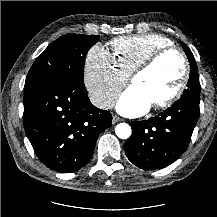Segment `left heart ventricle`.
I'll list each match as a JSON object with an SVG mask.
<instances>
[{"label": "left heart ventricle", "instance_id": "1", "mask_svg": "<svg viewBox=\"0 0 217 217\" xmlns=\"http://www.w3.org/2000/svg\"><path fill=\"white\" fill-rule=\"evenodd\" d=\"M183 72L182 62L175 54L160 59L148 71L137 76L133 82L154 104L169 95L177 88Z\"/></svg>", "mask_w": 217, "mask_h": 217}]
</instances>
